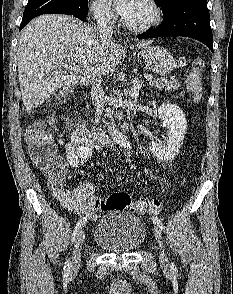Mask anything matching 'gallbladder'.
<instances>
[{
  "instance_id": "obj_1",
  "label": "gallbladder",
  "mask_w": 233,
  "mask_h": 294,
  "mask_svg": "<svg viewBox=\"0 0 233 294\" xmlns=\"http://www.w3.org/2000/svg\"><path fill=\"white\" fill-rule=\"evenodd\" d=\"M62 97H63V94L62 93L58 94V96H57L58 99H61Z\"/></svg>"
}]
</instances>
